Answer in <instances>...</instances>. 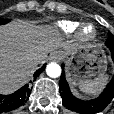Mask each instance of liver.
Here are the masks:
<instances>
[{
    "mask_svg": "<svg viewBox=\"0 0 114 114\" xmlns=\"http://www.w3.org/2000/svg\"><path fill=\"white\" fill-rule=\"evenodd\" d=\"M56 49L69 52L72 45L51 25L17 20L0 26V94L12 93L24 85L37 65Z\"/></svg>",
    "mask_w": 114,
    "mask_h": 114,
    "instance_id": "1",
    "label": "liver"
}]
</instances>
